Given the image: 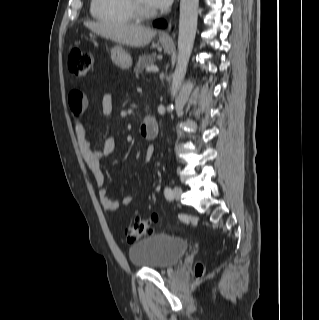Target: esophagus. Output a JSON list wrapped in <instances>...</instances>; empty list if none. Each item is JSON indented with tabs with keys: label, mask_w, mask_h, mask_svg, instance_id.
Listing matches in <instances>:
<instances>
[{
	"label": "esophagus",
	"mask_w": 319,
	"mask_h": 320,
	"mask_svg": "<svg viewBox=\"0 0 319 320\" xmlns=\"http://www.w3.org/2000/svg\"><path fill=\"white\" fill-rule=\"evenodd\" d=\"M171 21L168 23L167 27L160 33V36L167 40H172L170 36Z\"/></svg>",
	"instance_id": "obj_1"
}]
</instances>
